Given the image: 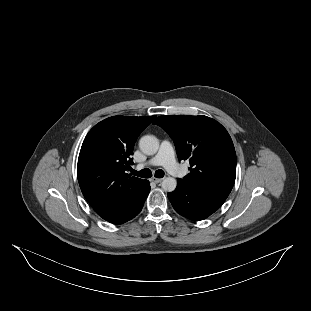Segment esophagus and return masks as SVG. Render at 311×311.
<instances>
[{"mask_svg":"<svg viewBox=\"0 0 311 311\" xmlns=\"http://www.w3.org/2000/svg\"><path fill=\"white\" fill-rule=\"evenodd\" d=\"M152 182H154V183H160V182H162V178H155V177H153V178H151L150 179Z\"/></svg>","mask_w":311,"mask_h":311,"instance_id":"1","label":"esophagus"}]
</instances>
